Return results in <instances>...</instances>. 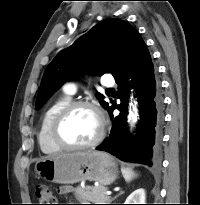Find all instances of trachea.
<instances>
[{
	"label": "trachea",
	"instance_id": "obj_1",
	"mask_svg": "<svg viewBox=\"0 0 200 205\" xmlns=\"http://www.w3.org/2000/svg\"><path fill=\"white\" fill-rule=\"evenodd\" d=\"M107 91H112V89L109 88V89H107Z\"/></svg>",
	"mask_w": 200,
	"mask_h": 205
}]
</instances>
